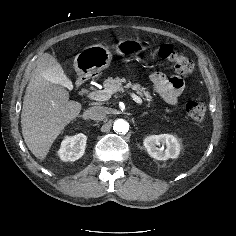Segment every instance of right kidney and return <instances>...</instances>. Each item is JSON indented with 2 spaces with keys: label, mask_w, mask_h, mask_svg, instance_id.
I'll list each match as a JSON object with an SVG mask.
<instances>
[{
  "label": "right kidney",
  "mask_w": 236,
  "mask_h": 236,
  "mask_svg": "<svg viewBox=\"0 0 236 236\" xmlns=\"http://www.w3.org/2000/svg\"><path fill=\"white\" fill-rule=\"evenodd\" d=\"M87 137L80 133L72 137H65L61 143L58 155L62 161H75L85 152Z\"/></svg>",
  "instance_id": "obj_1"
}]
</instances>
